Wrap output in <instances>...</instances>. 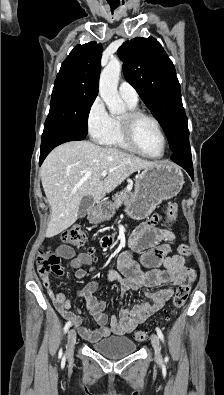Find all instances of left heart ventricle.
Segmentation results:
<instances>
[{
  "label": "left heart ventricle",
  "mask_w": 224,
  "mask_h": 395,
  "mask_svg": "<svg viewBox=\"0 0 224 395\" xmlns=\"http://www.w3.org/2000/svg\"><path fill=\"white\" fill-rule=\"evenodd\" d=\"M136 139L147 153L158 156L163 151V140L153 122L141 119L136 125Z\"/></svg>",
  "instance_id": "1"
}]
</instances>
